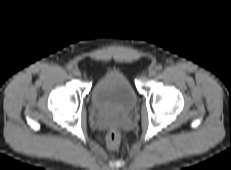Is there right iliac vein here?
<instances>
[{"label":"right iliac vein","instance_id":"1","mask_svg":"<svg viewBox=\"0 0 231 170\" xmlns=\"http://www.w3.org/2000/svg\"><path fill=\"white\" fill-rule=\"evenodd\" d=\"M73 74L77 77H80L81 76V71L78 69V68H74L73 69Z\"/></svg>","mask_w":231,"mask_h":170}]
</instances>
